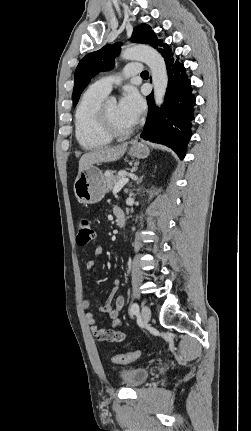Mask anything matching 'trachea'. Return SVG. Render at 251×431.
Segmentation results:
<instances>
[{
    "instance_id": "3493384b",
    "label": "trachea",
    "mask_w": 251,
    "mask_h": 431,
    "mask_svg": "<svg viewBox=\"0 0 251 431\" xmlns=\"http://www.w3.org/2000/svg\"><path fill=\"white\" fill-rule=\"evenodd\" d=\"M141 75L143 76V75H148V71H143L142 73H141Z\"/></svg>"
}]
</instances>
